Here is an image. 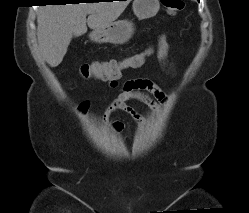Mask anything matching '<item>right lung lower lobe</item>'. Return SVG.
I'll list each match as a JSON object with an SVG mask.
<instances>
[{"instance_id":"obj_1","label":"right lung lower lobe","mask_w":249,"mask_h":213,"mask_svg":"<svg viewBox=\"0 0 249 213\" xmlns=\"http://www.w3.org/2000/svg\"><path fill=\"white\" fill-rule=\"evenodd\" d=\"M66 0H47V2H54V3H65ZM126 1V0H125ZM45 1H42L41 3H44Z\"/></svg>"}]
</instances>
